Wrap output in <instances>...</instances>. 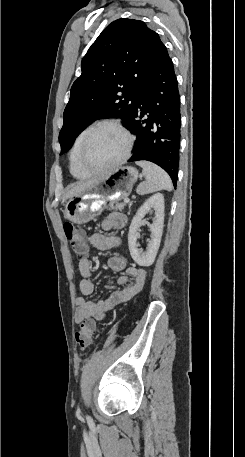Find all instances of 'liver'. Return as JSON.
Listing matches in <instances>:
<instances>
[{
  "label": "liver",
  "instance_id": "liver-1",
  "mask_svg": "<svg viewBox=\"0 0 245 457\" xmlns=\"http://www.w3.org/2000/svg\"><path fill=\"white\" fill-rule=\"evenodd\" d=\"M95 180H97V178H92V180H86V182H78L77 186H73V188H71V190H69V192L65 194L63 202L64 200H66V198H71V196H74V194H77V192H81V190H84V188H86V186H89V184H93Z\"/></svg>",
  "mask_w": 245,
  "mask_h": 457
}]
</instances>
